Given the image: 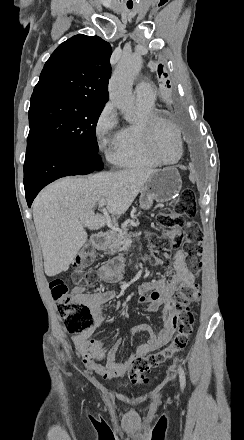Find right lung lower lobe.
<instances>
[{
    "instance_id": "1",
    "label": "right lung lower lobe",
    "mask_w": 244,
    "mask_h": 440,
    "mask_svg": "<svg viewBox=\"0 0 244 440\" xmlns=\"http://www.w3.org/2000/svg\"><path fill=\"white\" fill-rule=\"evenodd\" d=\"M103 169L99 154H84L52 142L27 143L24 187L28 207L47 184L61 177L86 175Z\"/></svg>"
}]
</instances>
